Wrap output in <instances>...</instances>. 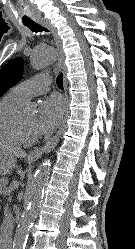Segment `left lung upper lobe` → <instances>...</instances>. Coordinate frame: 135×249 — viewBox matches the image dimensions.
Returning <instances> with one entry per match:
<instances>
[{"label":"left lung upper lobe","instance_id":"5c2ea615","mask_svg":"<svg viewBox=\"0 0 135 249\" xmlns=\"http://www.w3.org/2000/svg\"><path fill=\"white\" fill-rule=\"evenodd\" d=\"M22 69V58H15L3 66L0 70V96L20 80Z\"/></svg>","mask_w":135,"mask_h":249}]
</instances>
